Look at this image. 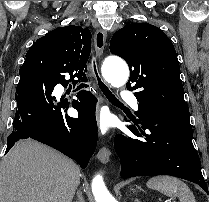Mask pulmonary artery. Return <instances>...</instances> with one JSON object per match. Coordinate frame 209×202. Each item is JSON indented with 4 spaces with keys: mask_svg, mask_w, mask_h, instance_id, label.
I'll list each match as a JSON object with an SVG mask.
<instances>
[{
    "mask_svg": "<svg viewBox=\"0 0 209 202\" xmlns=\"http://www.w3.org/2000/svg\"><path fill=\"white\" fill-rule=\"evenodd\" d=\"M120 98L126 102L132 109L137 110L139 107V100L129 91H121Z\"/></svg>",
    "mask_w": 209,
    "mask_h": 202,
    "instance_id": "pulmonary-artery-1",
    "label": "pulmonary artery"
}]
</instances>
